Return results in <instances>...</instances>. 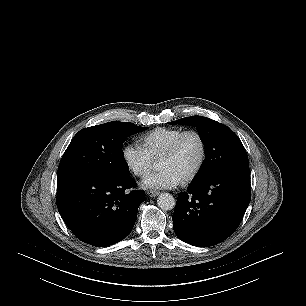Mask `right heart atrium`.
Instances as JSON below:
<instances>
[{"label": "right heart atrium", "mask_w": 306, "mask_h": 306, "mask_svg": "<svg viewBox=\"0 0 306 306\" xmlns=\"http://www.w3.org/2000/svg\"><path fill=\"white\" fill-rule=\"evenodd\" d=\"M127 169L136 177H146L154 167V159L140 144H128L122 151Z\"/></svg>", "instance_id": "obj_1"}]
</instances>
